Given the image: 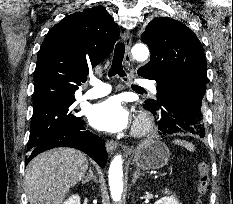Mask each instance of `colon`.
<instances>
[{
  "mask_svg": "<svg viewBox=\"0 0 233 204\" xmlns=\"http://www.w3.org/2000/svg\"><path fill=\"white\" fill-rule=\"evenodd\" d=\"M196 174L198 176L199 197H202L210 188L209 165L206 161H201L197 164Z\"/></svg>",
  "mask_w": 233,
  "mask_h": 204,
  "instance_id": "5ec220e1",
  "label": "colon"
}]
</instances>
